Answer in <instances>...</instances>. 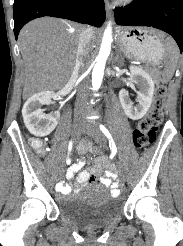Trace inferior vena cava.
Masks as SVG:
<instances>
[{"instance_id":"obj_1","label":"inferior vena cava","mask_w":183,"mask_h":246,"mask_svg":"<svg viewBox=\"0 0 183 246\" xmlns=\"http://www.w3.org/2000/svg\"><path fill=\"white\" fill-rule=\"evenodd\" d=\"M93 36V31L91 27H85L79 37L78 49L76 53V61L73 73H78L79 70H83L85 67V60L89 54V46ZM84 87H82V90ZM87 105L86 94L81 92L77 99L75 106L76 108H85Z\"/></svg>"}]
</instances>
